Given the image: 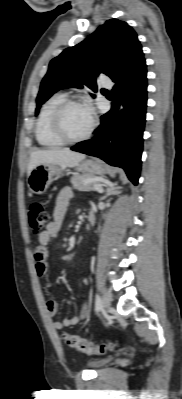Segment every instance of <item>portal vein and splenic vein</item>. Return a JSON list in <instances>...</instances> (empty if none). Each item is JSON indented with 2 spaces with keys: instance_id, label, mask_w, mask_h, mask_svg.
Wrapping results in <instances>:
<instances>
[{
  "instance_id": "obj_1",
  "label": "portal vein and splenic vein",
  "mask_w": 182,
  "mask_h": 399,
  "mask_svg": "<svg viewBox=\"0 0 182 399\" xmlns=\"http://www.w3.org/2000/svg\"><path fill=\"white\" fill-rule=\"evenodd\" d=\"M88 182H91V181H88ZM94 188H95V190L98 191V192H103L102 184L95 183V184H94Z\"/></svg>"
}]
</instances>
